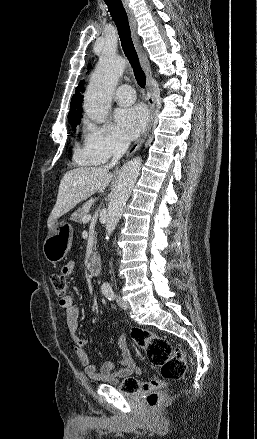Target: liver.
Segmentation results:
<instances>
[{
  "instance_id": "1",
  "label": "liver",
  "mask_w": 257,
  "mask_h": 439,
  "mask_svg": "<svg viewBox=\"0 0 257 439\" xmlns=\"http://www.w3.org/2000/svg\"><path fill=\"white\" fill-rule=\"evenodd\" d=\"M112 177L113 174L107 167H78L65 173L59 185L55 206L47 221L48 228L80 202L97 192H103Z\"/></svg>"
}]
</instances>
